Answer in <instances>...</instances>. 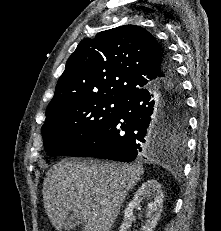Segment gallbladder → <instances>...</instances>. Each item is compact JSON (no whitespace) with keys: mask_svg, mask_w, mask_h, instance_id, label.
<instances>
[{"mask_svg":"<svg viewBox=\"0 0 221 231\" xmlns=\"http://www.w3.org/2000/svg\"><path fill=\"white\" fill-rule=\"evenodd\" d=\"M81 222H82L81 216L72 212L71 214L67 216L63 228L65 231H71L72 229H75L76 227H78Z\"/></svg>","mask_w":221,"mask_h":231,"instance_id":"1","label":"gallbladder"}]
</instances>
